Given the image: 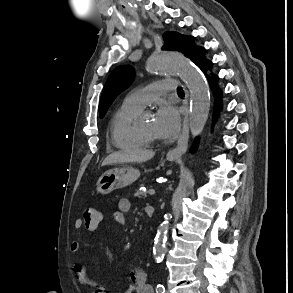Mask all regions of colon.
I'll return each mask as SVG.
<instances>
[{
    "label": "colon",
    "mask_w": 293,
    "mask_h": 293,
    "mask_svg": "<svg viewBox=\"0 0 293 293\" xmlns=\"http://www.w3.org/2000/svg\"><path fill=\"white\" fill-rule=\"evenodd\" d=\"M82 219L85 226L95 228L100 223L101 213L93 207H86L82 212Z\"/></svg>",
    "instance_id": "colon-1"
}]
</instances>
